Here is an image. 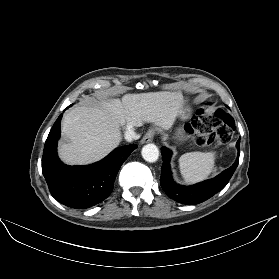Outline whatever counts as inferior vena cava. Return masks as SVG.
Returning <instances> with one entry per match:
<instances>
[{
    "instance_id": "obj_1",
    "label": "inferior vena cava",
    "mask_w": 279,
    "mask_h": 279,
    "mask_svg": "<svg viewBox=\"0 0 279 279\" xmlns=\"http://www.w3.org/2000/svg\"><path fill=\"white\" fill-rule=\"evenodd\" d=\"M140 136L135 132L133 125H127L125 130V139L128 142L138 139Z\"/></svg>"
}]
</instances>
